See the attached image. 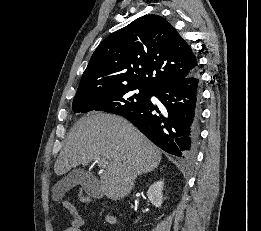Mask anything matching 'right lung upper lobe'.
<instances>
[{
	"mask_svg": "<svg viewBox=\"0 0 261 231\" xmlns=\"http://www.w3.org/2000/svg\"><path fill=\"white\" fill-rule=\"evenodd\" d=\"M191 47L163 17L145 15L95 50L75 96L134 85L152 91L197 70Z\"/></svg>",
	"mask_w": 261,
	"mask_h": 231,
	"instance_id": "cb5924a9",
	"label": "right lung upper lobe"
}]
</instances>
